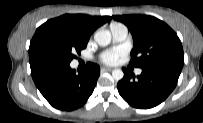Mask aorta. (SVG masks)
<instances>
[{"label": "aorta", "mask_w": 203, "mask_h": 123, "mask_svg": "<svg viewBox=\"0 0 203 123\" xmlns=\"http://www.w3.org/2000/svg\"><path fill=\"white\" fill-rule=\"evenodd\" d=\"M94 40L100 45V46H107L111 42V33L108 30H99L94 34ZM124 73L121 69H114L112 71V77L119 81L123 78Z\"/></svg>", "instance_id": "obj_1"}]
</instances>
